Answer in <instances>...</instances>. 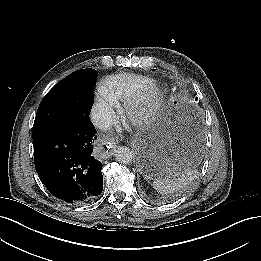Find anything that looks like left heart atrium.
<instances>
[{
    "label": "left heart atrium",
    "instance_id": "1",
    "mask_svg": "<svg viewBox=\"0 0 261 261\" xmlns=\"http://www.w3.org/2000/svg\"><path fill=\"white\" fill-rule=\"evenodd\" d=\"M105 141H108L109 139L108 138H104Z\"/></svg>",
    "mask_w": 261,
    "mask_h": 261
}]
</instances>
